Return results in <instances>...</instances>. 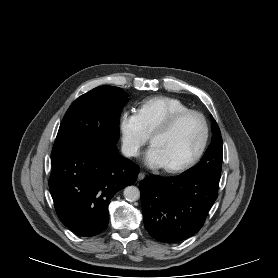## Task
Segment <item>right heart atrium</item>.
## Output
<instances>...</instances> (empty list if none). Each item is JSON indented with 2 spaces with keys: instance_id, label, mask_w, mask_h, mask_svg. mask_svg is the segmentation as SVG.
<instances>
[{
  "instance_id": "right-heart-atrium-1",
  "label": "right heart atrium",
  "mask_w": 278,
  "mask_h": 278,
  "mask_svg": "<svg viewBox=\"0 0 278 278\" xmlns=\"http://www.w3.org/2000/svg\"><path fill=\"white\" fill-rule=\"evenodd\" d=\"M118 128L124 153L130 157L137 156L141 147L149 139V133L138 113L130 110L123 111L119 116Z\"/></svg>"
}]
</instances>
